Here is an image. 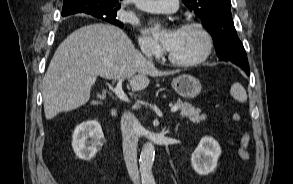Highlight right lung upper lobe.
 Instances as JSON below:
<instances>
[{
	"instance_id": "1",
	"label": "right lung upper lobe",
	"mask_w": 293,
	"mask_h": 184,
	"mask_svg": "<svg viewBox=\"0 0 293 184\" xmlns=\"http://www.w3.org/2000/svg\"><path fill=\"white\" fill-rule=\"evenodd\" d=\"M62 16H68L75 13H87L97 18L96 8L117 10L120 7L118 0H64ZM105 16V15H103ZM106 19V18H102ZM108 20V19H106Z\"/></svg>"
}]
</instances>
